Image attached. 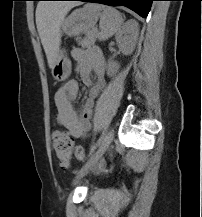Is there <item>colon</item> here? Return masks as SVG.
Segmentation results:
<instances>
[{
    "label": "colon",
    "mask_w": 202,
    "mask_h": 217,
    "mask_svg": "<svg viewBox=\"0 0 202 217\" xmlns=\"http://www.w3.org/2000/svg\"><path fill=\"white\" fill-rule=\"evenodd\" d=\"M52 146L55 156L63 168L68 166L72 154L80 161L85 158L83 147L80 145L74 146L70 136L64 131L57 130L53 133Z\"/></svg>",
    "instance_id": "colon-1"
}]
</instances>
